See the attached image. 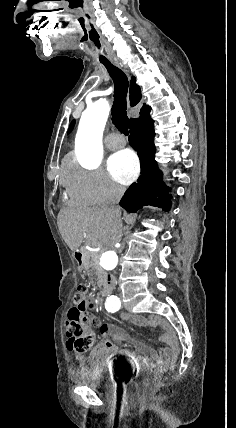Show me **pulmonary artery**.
<instances>
[{"label": "pulmonary artery", "instance_id": "pulmonary-artery-1", "mask_svg": "<svg viewBox=\"0 0 236 428\" xmlns=\"http://www.w3.org/2000/svg\"><path fill=\"white\" fill-rule=\"evenodd\" d=\"M125 144H126V141H122L120 143H113V142L108 141L107 147L112 149V150H116V149L122 148Z\"/></svg>", "mask_w": 236, "mask_h": 428}]
</instances>
